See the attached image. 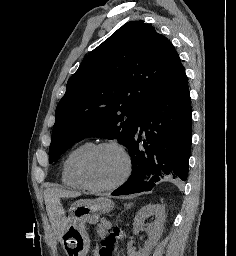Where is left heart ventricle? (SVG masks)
Returning <instances> with one entry per match:
<instances>
[{
  "label": "left heart ventricle",
  "mask_w": 236,
  "mask_h": 256,
  "mask_svg": "<svg viewBox=\"0 0 236 256\" xmlns=\"http://www.w3.org/2000/svg\"><path fill=\"white\" fill-rule=\"evenodd\" d=\"M124 158L115 148H103L92 155L86 165L88 181L95 187L115 184L123 175Z\"/></svg>",
  "instance_id": "left-heart-ventricle-1"
}]
</instances>
